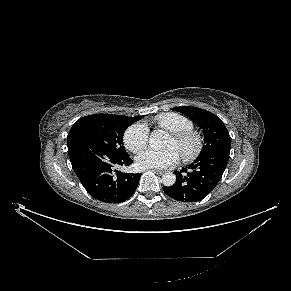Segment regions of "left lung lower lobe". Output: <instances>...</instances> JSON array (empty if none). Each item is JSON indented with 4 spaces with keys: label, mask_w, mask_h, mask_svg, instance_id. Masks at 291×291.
Here are the masks:
<instances>
[{
    "label": "left lung lower lobe",
    "mask_w": 291,
    "mask_h": 291,
    "mask_svg": "<svg viewBox=\"0 0 291 291\" xmlns=\"http://www.w3.org/2000/svg\"><path fill=\"white\" fill-rule=\"evenodd\" d=\"M230 150L220 149L197 158L180 172H174L176 182L163 187L166 195L181 202H196L205 198L218 184L229 160Z\"/></svg>",
    "instance_id": "left-lung-lower-lobe-1"
}]
</instances>
